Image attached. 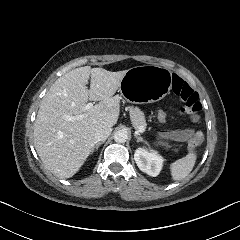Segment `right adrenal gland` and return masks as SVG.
<instances>
[{"label":"right adrenal gland","mask_w":240,"mask_h":240,"mask_svg":"<svg viewBox=\"0 0 240 240\" xmlns=\"http://www.w3.org/2000/svg\"><path fill=\"white\" fill-rule=\"evenodd\" d=\"M104 142H105V141H101V142H95V144L93 145V147H92L91 151L93 152L94 148L98 149V148H99V146H100L102 143H104Z\"/></svg>","instance_id":"right-adrenal-gland-1"}]
</instances>
